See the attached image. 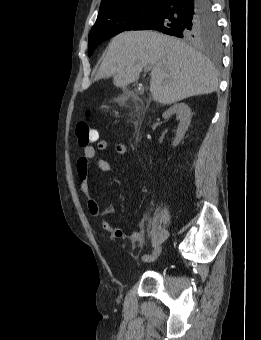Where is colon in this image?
<instances>
[{
    "label": "colon",
    "instance_id": "obj_1",
    "mask_svg": "<svg viewBox=\"0 0 261 340\" xmlns=\"http://www.w3.org/2000/svg\"><path fill=\"white\" fill-rule=\"evenodd\" d=\"M87 115H89V113H87ZM75 132L79 144L83 147L95 142L99 137L97 130L92 128L86 121L79 122Z\"/></svg>",
    "mask_w": 261,
    "mask_h": 340
}]
</instances>
